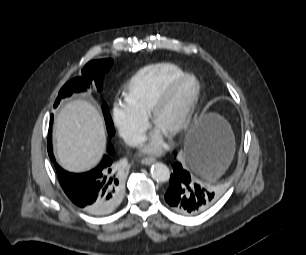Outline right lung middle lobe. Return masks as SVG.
<instances>
[{
	"mask_svg": "<svg viewBox=\"0 0 306 255\" xmlns=\"http://www.w3.org/2000/svg\"><path fill=\"white\" fill-rule=\"evenodd\" d=\"M113 64L112 59H102L90 61L82 70V77H76L67 82L59 92L58 98L54 104L57 107L61 98L70 96L73 92L85 91L86 87H89L91 82L95 84L98 91L102 90V81L105 73L110 69ZM103 114L108 130V134L112 136L114 134V125L109 114L106 103H103Z\"/></svg>",
	"mask_w": 306,
	"mask_h": 255,
	"instance_id": "dd1d6c3e",
	"label": "right lung middle lobe"
}]
</instances>
